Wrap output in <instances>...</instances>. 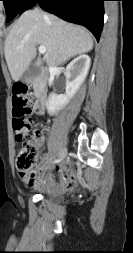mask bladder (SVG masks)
I'll use <instances>...</instances> for the list:
<instances>
[{
	"label": "bladder",
	"instance_id": "31cf9c89",
	"mask_svg": "<svg viewBox=\"0 0 133 253\" xmlns=\"http://www.w3.org/2000/svg\"><path fill=\"white\" fill-rule=\"evenodd\" d=\"M47 198L51 201H54V202H61L62 201V197L58 196V195H48Z\"/></svg>",
	"mask_w": 133,
	"mask_h": 253
}]
</instances>
